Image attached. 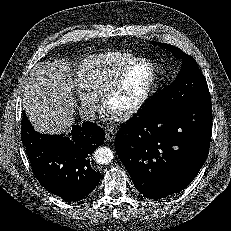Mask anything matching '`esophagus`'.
<instances>
[{"instance_id":"esophagus-1","label":"esophagus","mask_w":231,"mask_h":231,"mask_svg":"<svg viewBox=\"0 0 231 231\" xmlns=\"http://www.w3.org/2000/svg\"><path fill=\"white\" fill-rule=\"evenodd\" d=\"M116 130L113 128H108L105 130V137L108 142H112L115 139L116 136Z\"/></svg>"}]
</instances>
